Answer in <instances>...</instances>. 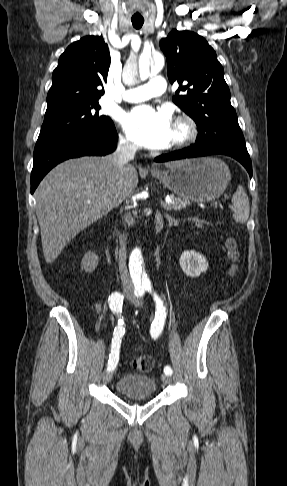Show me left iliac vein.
<instances>
[{"label": "left iliac vein", "instance_id": "obj_1", "mask_svg": "<svg viewBox=\"0 0 287 486\" xmlns=\"http://www.w3.org/2000/svg\"><path fill=\"white\" fill-rule=\"evenodd\" d=\"M130 300L135 306L141 307L143 305L142 300L137 297L133 296L130 298ZM161 380L164 384H169L171 382V377L169 375L163 374L161 376Z\"/></svg>", "mask_w": 287, "mask_h": 486}]
</instances>
